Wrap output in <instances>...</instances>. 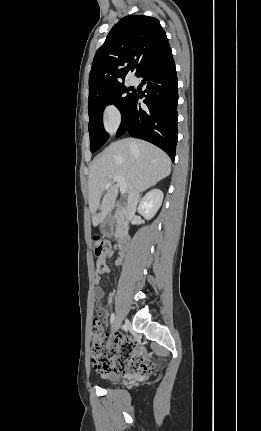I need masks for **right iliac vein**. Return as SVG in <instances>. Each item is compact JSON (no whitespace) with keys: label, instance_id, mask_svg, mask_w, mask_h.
I'll return each mask as SVG.
<instances>
[{"label":"right iliac vein","instance_id":"1","mask_svg":"<svg viewBox=\"0 0 261 431\" xmlns=\"http://www.w3.org/2000/svg\"><path fill=\"white\" fill-rule=\"evenodd\" d=\"M120 325H121V320H120V318H119V317H117V318L114 320V322H113L112 330H113L114 332H115V331H117V330L119 329Z\"/></svg>","mask_w":261,"mask_h":431}]
</instances>
